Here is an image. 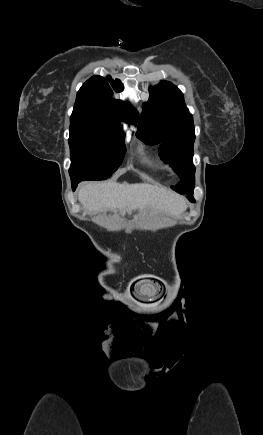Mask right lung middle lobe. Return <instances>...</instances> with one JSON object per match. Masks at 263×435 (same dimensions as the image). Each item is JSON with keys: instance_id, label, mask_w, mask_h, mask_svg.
<instances>
[{"instance_id": "right-lung-middle-lobe-1", "label": "right lung middle lobe", "mask_w": 263, "mask_h": 435, "mask_svg": "<svg viewBox=\"0 0 263 435\" xmlns=\"http://www.w3.org/2000/svg\"><path fill=\"white\" fill-rule=\"evenodd\" d=\"M124 132L110 126L70 119L71 180L109 178L125 154Z\"/></svg>"}]
</instances>
